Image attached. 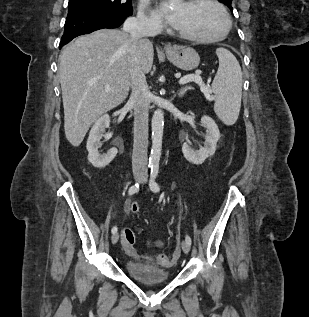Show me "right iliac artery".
<instances>
[{"instance_id":"1","label":"right iliac artery","mask_w":309,"mask_h":317,"mask_svg":"<svg viewBox=\"0 0 309 317\" xmlns=\"http://www.w3.org/2000/svg\"><path fill=\"white\" fill-rule=\"evenodd\" d=\"M138 191H139V184L136 183L135 185H133V186H131V187L129 188L128 194H129V195H133V194H135V193L138 192ZM111 232H112V234H115V233L117 232V227L114 226V227L112 228Z\"/></svg>"}]
</instances>
